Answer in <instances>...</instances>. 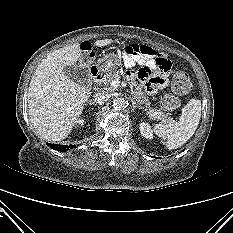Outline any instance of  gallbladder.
<instances>
[{
  "label": "gallbladder",
  "instance_id": "bac80fb5",
  "mask_svg": "<svg viewBox=\"0 0 233 233\" xmlns=\"http://www.w3.org/2000/svg\"><path fill=\"white\" fill-rule=\"evenodd\" d=\"M63 71L68 76V78L74 82H77L83 85L86 82H89V76L87 72L79 66H76V65L65 66Z\"/></svg>",
  "mask_w": 233,
  "mask_h": 233
}]
</instances>
